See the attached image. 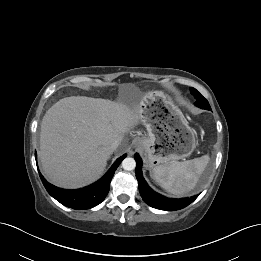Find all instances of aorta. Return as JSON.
I'll use <instances>...</instances> for the list:
<instances>
[{
  "mask_svg": "<svg viewBox=\"0 0 261 261\" xmlns=\"http://www.w3.org/2000/svg\"><path fill=\"white\" fill-rule=\"evenodd\" d=\"M122 168L127 171L134 170L136 167V162L133 158L127 157L122 161Z\"/></svg>",
  "mask_w": 261,
  "mask_h": 261,
  "instance_id": "obj_1",
  "label": "aorta"
}]
</instances>
